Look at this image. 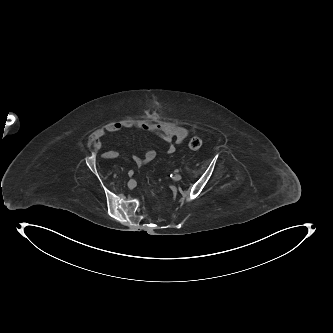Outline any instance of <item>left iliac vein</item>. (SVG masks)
Returning a JSON list of instances; mask_svg holds the SVG:
<instances>
[{
	"mask_svg": "<svg viewBox=\"0 0 333 333\" xmlns=\"http://www.w3.org/2000/svg\"><path fill=\"white\" fill-rule=\"evenodd\" d=\"M182 176L180 174H176L174 177H173V180L174 181H179L181 180Z\"/></svg>",
	"mask_w": 333,
	"mask_h": 333,
	"instance_id": "obj_1",
	"label": "left iliac vein"
}]
</instances>
